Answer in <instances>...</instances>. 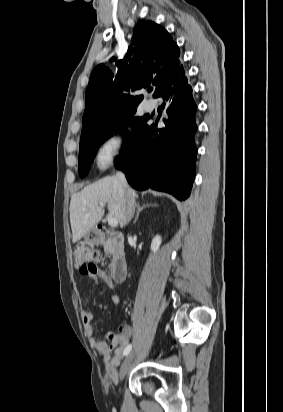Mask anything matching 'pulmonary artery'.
I'll return each instance as SVG.
<instances>
[{
  "instance_id": "obj_1",
  "label": "pulmonary artery",
  "mask_w": 283,
  "mask_h": 412,
  "mask_svg": "<svg viewBox=\"0 0 283 412\" xmlns=\"http://www.w3.org/2000/svg\"><path fill=\"white\" fill-rule=\"evenodd\" d=\"M153 108H154L153 105H146V106H145V110H146V111H152Z\"/></svg>"
}]
</instances>
